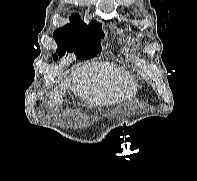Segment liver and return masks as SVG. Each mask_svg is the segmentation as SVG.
<instances>
[{"instance_id": "1", "label": "liver", "mask_w": 197, "mask_h": 181, "mask_svg": "<svg viewBox=\"0 0 197 181\" xmlns=\"http://www.w3.org/2000/svg\"><path fill=\"white\" fill-rule=\"evenodd\" d=\"M67 87L88 102L89 107L120 103L134 97L137 92L132 76L108 62L79 64L72 78L61 82L60 89L50 95L48 105L53 107L62 104L63 92Z\"/></svg>"}]
</instances>
